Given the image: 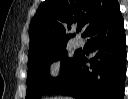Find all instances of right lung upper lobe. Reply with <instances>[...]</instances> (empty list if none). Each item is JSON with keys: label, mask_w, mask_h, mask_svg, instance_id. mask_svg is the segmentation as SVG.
I'll list each match as a JSON object with an SVG mask.
<instances>
[{"label": "right lung upper lobe", "mask_w": 128, "mask_h": 99, "mask_svg": "<svg viewBox=\"0 0 128 99\" xmlns=\"http://www.w3.org/2000/svg\"><path fill=\"white\" fill-rule=\"evenodd\" d=\"M116 0H46L38 8L30 23L29 58L67 45L74 34H66L75 23H82L85 31L108 15Z\"/></svg>", "instance_id": "right-lung-upper-lobe-1"}]
</instances>
